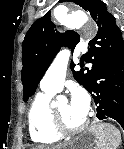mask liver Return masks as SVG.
<instances>
[{
	"instance_id": "1",
	"label": "liver",
	"mask_w": 124,
	"mask_h": 149,
	"mask_svg": "<svg viewBox=\"0 0 124 149\" xmlns=\"http://www.w3.org/2000/svg\"><path fill=\"white\" fill-rule=\"evenodd\" d=\"M35 149H63V146H55L53 148H45L44 146H38L37 148Z\"/></svg>"
}]
</instances>
